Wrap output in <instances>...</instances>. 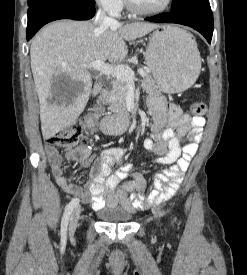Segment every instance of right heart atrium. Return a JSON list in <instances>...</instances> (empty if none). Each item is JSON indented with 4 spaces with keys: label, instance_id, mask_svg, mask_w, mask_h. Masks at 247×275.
I'll use <instances>...</instances> for the list:
<instances>
[{
    "label": "right heart atrium",
    "instance_id": "1",
    "mask_svg": "<svg viewBox=\"0 0 247 275\" xmlns=\"http://www.w3.org/2000/svg\"><path fill=\"white\" fill-rule=\"evenodd\" d=\"M96 4L105 12L117 15L123 8V0H95Z\"/></svg>",
    "mask_w": 247,
    "mask_h": 275
}]
</instances>
